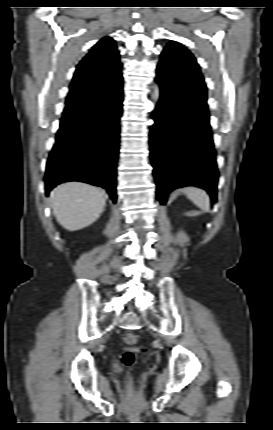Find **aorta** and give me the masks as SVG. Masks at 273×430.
<instances>
[{
    "label": "aorta",
    "mask_w": 273,
    "mask_h": 430,
    "mask_svg": "<svg viewBox=\"0 0 273 430\" xmlns=\"http://www.w3.org/2000/svg\"><path fill=\"white\" fill-rule=\"evenodd\" d=\"M160 96L159 86L157 84L153 85V93H152V99L154 101H158Z\"/></svg>",
    "instance_id": "aorta-1"
}]
</instances>
